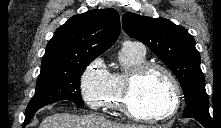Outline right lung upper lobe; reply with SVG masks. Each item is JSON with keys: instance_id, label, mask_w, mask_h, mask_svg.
Listing matches in <instances>:
<instances>
[{"instance_id": "1", "label": "right lung upper lobe", "mask_w": 221, "mask_h": 128, "mask_svg": "<svg viewBox=\"0 0 221 128\" xmlns=\"http://www.w3.org/2000/svg\"><path fill=\"white\" fill-rule=\"evenodd\" d=\"M119 31L120 18L112 8L75 15L55 31L47 44L41 70L95 59L116 42Z\"/></svg>"}]
</instances>
